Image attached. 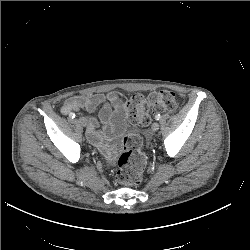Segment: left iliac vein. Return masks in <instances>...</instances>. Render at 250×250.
I'll use <instances>...</instances> for the list:
<instances>
[{"instance_id": "obj_1", "label": "left iliac vein", "mask_w": 250, "mask_h": 250, "mask_svg": "<svg viewBox=\"0 0 250 250\" xmlns=\"http://www.w3.org/2000/svg\"><path fill=\"white\" fill-rule=\"evenodd\" d=\"M152 131H157L159 129V123L154 122L151 126Z\"/></svg>"}]
</instances>
